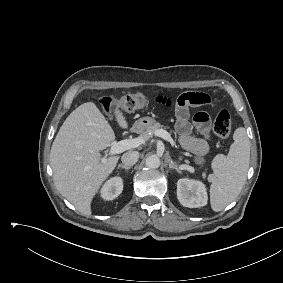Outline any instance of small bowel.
<instances>
[{"instance_id":"obj_1","label":"small bowel","mask_w":283,"mask_h":283,"mask_svg":"<svg viewBox=\"0 0 283 283\" xmlns=\"http://www.w3.org/2000/svg\"><path fill=\"white\" fill-rule=\"evenodd\" d=\"M155 102L174 108L179 142L184 149L194 155L197 162L201 163L209 150L210 119L206 111H199L193 116V123H191L189 109L208 105L210 97L205 93L187 92L181 94L176 100L160 95L155 98ZM194 129L199 133V137L193 135Z\"/></svg>"}]
</instances>
